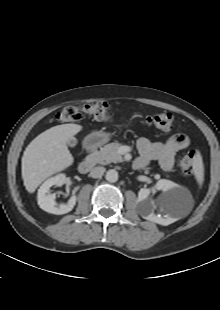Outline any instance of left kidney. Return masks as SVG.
Returning a JSON list of instances; mask_svg holds the SVG:
<instances>
[{"mask_svg":"<svg viewBox=\"0 0 220 310\" xmlns=\"http://www.w3.org/2000/svg\"><path fill=\"white\" fill-rule=\"evenodd\" d=\"M155 188L168 193V195H171L177 190H179L180 187L179 185L170 180L161 179L156 183ZM150 192L151 190L147 188H141L140 191L138 192L137 201L139 203V210L141 216L149 221L155 222L160 225L164 226L169 225L173 221V219L170 216L164 218L154 214L156 204L154 201L148 198ZM166 200H167L166 198H162L160 200V204L164 205Z\"/></svg>","mask_w":220,"mask_h":310,"instance_id":"left-kidney-1","label":"left kidney"}]
</instances>
